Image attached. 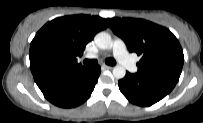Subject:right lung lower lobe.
Returning <instances> with one entry per match:
<instances>
[{"label": "right lung lower lobe", "mask_w": 203, "mask_h": 123, "mask_svg": "<svg viewBox=\"0 0 203 123\" xmlns=\"http://www.w3.org/2000/svg\"><path fill=\"white\" fill-rule=\"evenodd\" d=\"M101 68H52L33 73L34 80L48 101L63 108L85 102L98 81Z\"/></svg>", "instance_id": "obj_1"}]
</instances>
